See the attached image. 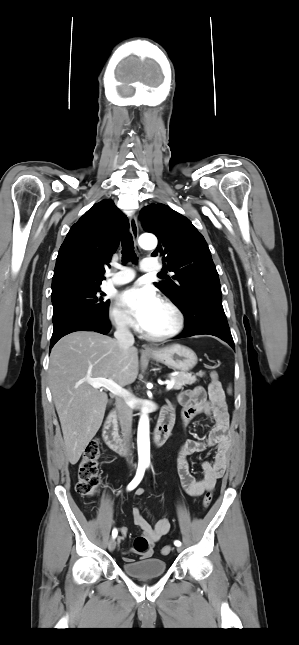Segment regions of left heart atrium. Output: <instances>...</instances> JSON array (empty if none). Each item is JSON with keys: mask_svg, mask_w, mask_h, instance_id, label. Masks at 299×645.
I'll return each mask as SVG.
<instances>
[{"mask_svg": "<svg viewBox=\"0 0 299 645\" xmlns=\"http://www.w3.org/2000/svg\"><path fill=\"white\" fill-rule=\"evenodd\" d=\"M120 302L142 328L148 325L161 305V299L156 292L150 287L141 285H135L122 292Z\"/></svg>", "mask_w": 299, "mask_h": 645, "instance_id": "obj_1", "label": "left heart atrium"}]
</instances>
